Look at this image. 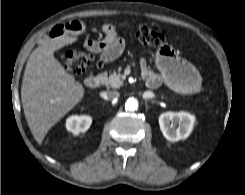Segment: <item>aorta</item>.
<instances>
[{
	"instance_id": "obj_1",
	"label": "aorta",
	"mask_w": 245,
	"mask_h": 195,
	"mask_svg": "<svg viewBox=\"0 0 245 195\" xmlns=\"http://www.w3.org/2000/svg\"><path fill=\"white\" fill-rule=\"evenodd\" d=\"M138 108V102L135 98H129L125 103V109L135 111Z\"/></svg>"
}]
</instances>
